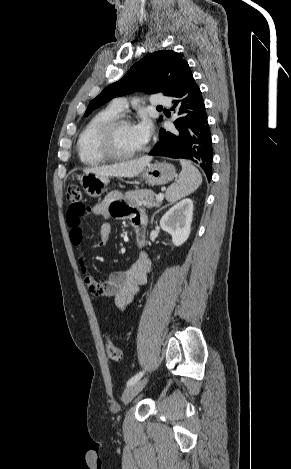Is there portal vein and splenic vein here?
Masks as SVG:
<instances>
[{
  "instance_id": "18ae733b",
  "label": "portal vein and splenic vein",
  "mask_w": 291,
  "mask_h": 469,
  "mask_svg": "<svg viewBox=\"0 0 291 469\" xmlns=\"http://www.w3.org/2000/svg\"><path fill=\"white\" fill-rule=\"evenodd\" d=\"M164 199V195L162 193L156 196V201H162Z\"/></svg>"
}]
</instances>
